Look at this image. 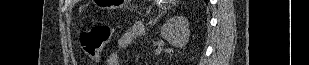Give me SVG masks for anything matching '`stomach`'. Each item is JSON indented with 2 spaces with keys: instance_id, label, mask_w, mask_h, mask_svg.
<instances>
[{
  "instance_id": "0dacf381",
  "label": "stomach",
  "mask_w": 309,
  "mask_h": 65,
  "mask_svg": "<svg viewBox=\"0 0 309 65\" xmlns=\"http://www.w3.org/2000/svg\"><path fill=\"white\" fill-rule=\"evenodd\" d=\"M99 8L103 10H114L122 8L126 4V0H99L96 1Z\"/></svg>"
}]
</instances>
